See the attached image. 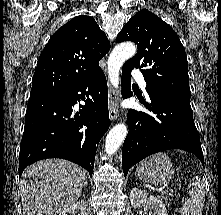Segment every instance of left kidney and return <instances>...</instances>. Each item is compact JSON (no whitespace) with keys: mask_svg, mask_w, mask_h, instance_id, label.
<instances>
[{"mask_svg":"<svg viewBox=\"0 0 221 215\" xmlns=\"http://www.w3.org/2000/svg\"><path fill=\"white\" fill-rule=\"evenodd\" d=\"M131 205L138 208L141 204H147L150 209L149 215H168L165 204L156 196H149L144 190L133 188L130 192Z\"/></svg>","mask_w":221,"mask_h":215,"instance_id":"obj_1","label":"left kidney"}]
</instances>
